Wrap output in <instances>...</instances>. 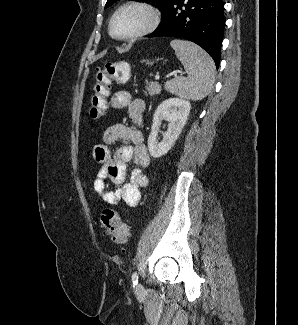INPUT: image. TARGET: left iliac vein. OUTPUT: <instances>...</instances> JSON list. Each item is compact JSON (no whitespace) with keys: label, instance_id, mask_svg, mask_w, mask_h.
<instances>
[{"label":"left iliac vein","instance_id":"4c4485c4","mask_svg":"<svg viewBox=\"0 0 298 325\" xmlns=\"http://www.w3.org/2000/svg\"><path fill=\"white\" fill-rule=\"evenodd\" d=\"M136 288H137L138 291H141L143 289L141 284H138Z\"/></svg>","mask_w":298,"mask_h":325}]
</instances>
